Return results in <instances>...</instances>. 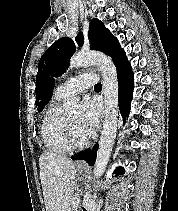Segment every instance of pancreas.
I'll return each instance as SVG.
<instances>
[{
    "label": "pancreas",
    "mask_w": 178,
    "mask_h": 211,
    "mask_svg": "<svg viewBox=\"0 0 178 211\" xmlns=\"http://www.w3.org/2000/svg\"><path fill=\"white\" fill-rule=\"evenodd\" d=\"M78 199H79V194H74L73 197L70 199L68 211H77V207H74L73 204Z\"/></svg>",
    "instance_id": "1"
}]
</instances>
